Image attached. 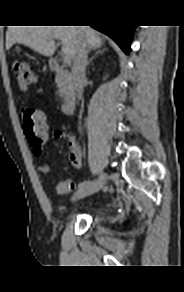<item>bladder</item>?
I'll list each match as a JSON object with an SVG mask.
<instances>
[{
  "mask_svg": "<svg viewBox=\"0 0 184 292\" xmlns=\"http://www.w3.org/2000/svg\"><path fill=\"white\" fill-rule=\"evenodd\" d=\"M94 210H95V212H98V211H99V209H98V208H95Z\"/></svg>",
  "mask_w": 184,
  "mask_h": 292,
  "instance_id": "obj_1",
  "label": "bladder"
}]
</instances>
